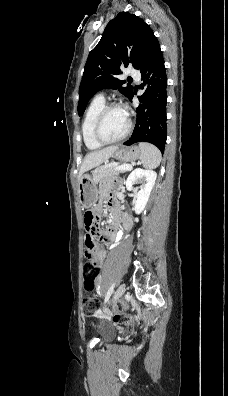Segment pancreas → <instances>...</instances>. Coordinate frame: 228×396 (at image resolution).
<instances>
[{
	"label": "pancreas",
	"instance_id": "obj_1",
	"mask_svg": "<svg viewBox=\"0 0 228 396\" xmlns=\"http://www.w3.org/2000/svg\"><path fill=\"white\" fill-rule=\"evenodd\" d=\"M117 164L110 163L105 166H102L96 170V173L93 177L96 183L100 182L103 179H107L109 177L118 176L120 173L125 172L124 170H115Z\"/></svg>",
	"mask_w": 228,
	"mask_h": 396
}]
</instances>
